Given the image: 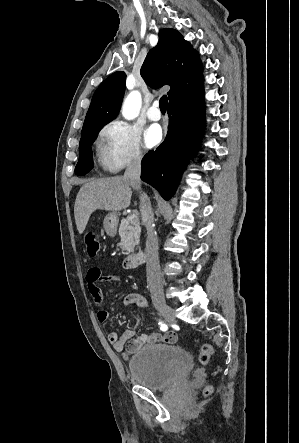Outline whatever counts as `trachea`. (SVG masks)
I'll return each mask as SVG.
<instances>
[{
    "mask_svg": "<svg viewBox=\"0 0 299 443\" xmlns=\"http://www.w3.org/2000/svg\"><path fill=\"white\" fill-rule=\"evenodd\" d=\"M168 105V98L166 95L162 96L159 102V107L162 112H165L167 110Z\"/></svg>",
    "mask_w": 299,
    "mask_h": 443,
    "instance_id": "1",
    "label": "trachea"
}]
</instances>
